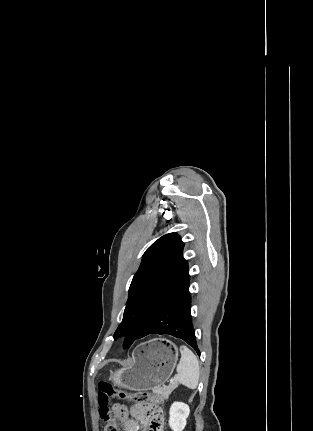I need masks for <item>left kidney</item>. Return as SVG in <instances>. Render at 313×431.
<instances>
[{"instance_id":"5707ae66","label":"left kidney","mask_w":313,"mask_h":431,"mask_svg":"<svg viewBox=\"0 0 313 431\" xmlns=\"http://www.w3.org/2000/svg\"><path fill=\"white\" fill-rule=\"evenodd\" d=\"M190 413L189 406L182 402H174L169 411V426L173 431H183Z\"/></svg>"}]
</instances>
